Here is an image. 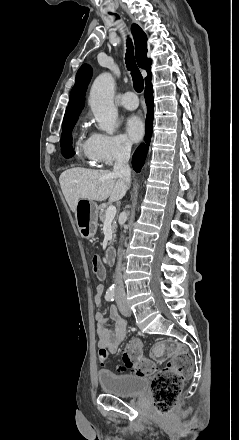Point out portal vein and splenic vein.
I'll list each match as a JSON object with an SVG mask.
<instances>
[{"instance_id": "1", "label": "portal vein and splenic vein", "mask_w": 239, "mask_h": 440, "mask_svg": "<svg viewBox=\"0 0 239 440\" xmlns=\"http://www.w3.org/2000/svg\"><path fill=\"white\" fill-rule=\"evenodd\" d=\"M116 216V208L115 206H109L106 212V220L105 222H112Z\"/></svg>"}]
</instances>
